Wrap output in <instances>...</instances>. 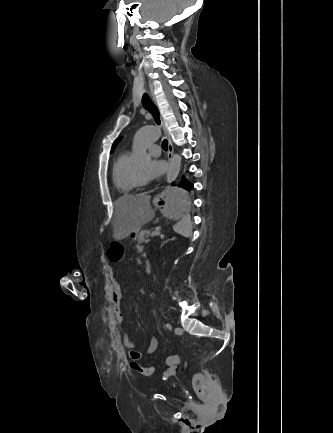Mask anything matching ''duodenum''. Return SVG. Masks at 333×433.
<instances>
[{"label":"duodenum","instance_id":"obj_1","mask_svg":"<svg viewBox=\"0 0 333 433\" xmlns=\"http://www.w3.org/2000/svg\"><path fill=\"white\" fill-rule=\"evenodd\" d=\"M144 268H145V272H146L147 274H150L151 271H152V265H151V262H150V261H146V262L144 263Z\"/></svg>","mask_w":333,"mask_h":433}]
</instances>
